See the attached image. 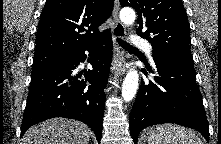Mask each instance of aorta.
Masks as SVG:
<instances>
[{
	"mask_svg": "<svg viewBox=\"0 0 221 144\" xmlns=\"http://www.w3.org/2000/svg\"><path fill=\"white\" fill-rule=\"evenodd\" d=\"M136 14L131 8H123L120 11V19L125 25L134 23ZM139 76L135 69H130L122 84V98L124 101H131L136 95L138 89Z\"/></svg>",
	"mask_w": 221,
	"mask_h": 144,
	"instance_id": "1",
	"label": "aorta"
}]
</instances>
